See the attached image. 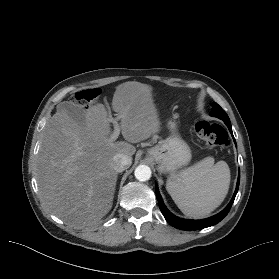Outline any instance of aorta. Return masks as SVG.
<instances>
[{
    "label": "aorta",
    "mask_w": 279,
    "mask_h": 279,
    "mask_svg": "<svg viewBox=\"0 0 279 279\" xmlns=\"http://www.w3.org/2000/svg\"><path fill=\"white\" fill-rule=\"evenodd\" d=\"M151 169L147 165H139L135 171V177L139 181H147L151 178Z\"/></svg>",
    "instance_id": "1"
}]
</instances>
